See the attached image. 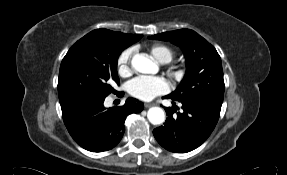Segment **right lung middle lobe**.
<instances>
[{
  "label": "right lung middle lobe",
  "mask_w": 287,
  "mask_h": 175,
  "mask_svg": "<svg viewBox=\"0 0 287 175\" xmlns=\"http://www.w3.org/2000/svg\"><path fill=\"white\" fill-rule=\"evenodd\" d=\"M120 37L90 32L77 41L62 60L58 94L60 104L76 98H105L117 93V59L133 44Z\"/></svg>",
  "instance_id": "obj_1"
}]
</instances>
